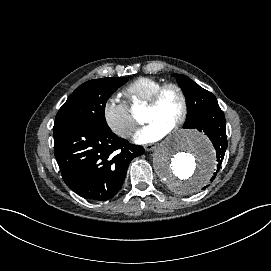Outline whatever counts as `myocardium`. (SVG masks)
Returning <instances> with one entry per match:
<instances>
[{
  "mask_svg": "<svg viewBox=\"0 0 271 271\" xmlns=\"http://www.w3.org/2000/svg\"><path fill=\"white\" fill-rule=\"evenodd\" d=\"M174 88L177 89L182 97L183 100V111L180 115V117L174 122L171 130H177L179 129L188 119L190 114V100L187 91L185 88L177 82H166L159 86V88L154 92L151 100L146 105L148 108H159L161 104L162 97L164 93L170 89Z\"/></svg>",
  "mask_w": 271,
  "mask_h": 271,
  "instance_id": "obj_1",
  "label": "myocardium"
}]
</instances>
